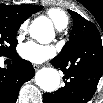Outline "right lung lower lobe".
Here are the masks:
<instances>
[{"mask_svg": "<svg viewBox=\"0 0 103 103\" xmlns=\"http://www.w3.org/2000/svg\"><path fill=\"white\" fill-rule=\"evenodd\" d=\"M13 60L8 69L0 67V103H15L19 89L35 74L32 64L17 53L8 56Z\"/></svg>", "mask_w": 103, "mask_h": 103, "instance_id": "right-lung-lower-lobe-1", "label": "right lung lower lobe"}]
</instances>
